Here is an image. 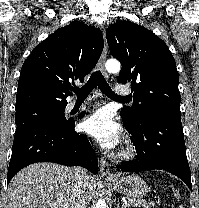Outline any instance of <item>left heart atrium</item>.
I'll list each match as a JSON object with an SVG mask.
<instances>
[{
    "mask_svg": "<svg viewBox=\"0 0 199 208\" xmlns=\"http://www.w3.org/2000/svg\"><path fill=\"white\" fill-rule=\"evenodd\" d=\"M80 129L107 149H113L120 141L121 128L104 109L85 117L80 123Z\"/></svg>",
    "mask_w": 199,
    "mask_h": 208,
    "instance_id": "left-heart-atrium-1",
    "label": "left heart atrium"
}]
</instances>
